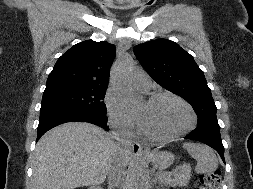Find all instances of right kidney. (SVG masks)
<instances>
[{"mask_svg":"<svg viewBox=\"0 0 253 189\" xmlns=\"http://www.w3.org/2000/svg\"><path fill=\"white\" fill-rule=\"evenodd\" d=\"M90 189H99V188H97V187L93 186V187H91Z\"/></svg>","mask_w":253,"mask_h":189,"instance_id":"1","label":"right kidney"}]
</instances>
